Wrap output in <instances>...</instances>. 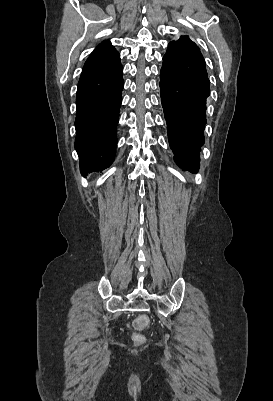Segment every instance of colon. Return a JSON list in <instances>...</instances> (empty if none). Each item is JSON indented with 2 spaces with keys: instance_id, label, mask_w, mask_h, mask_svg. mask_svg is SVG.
I'll use <instances>...</instances> for the list:
<instances>
[{
  "instance_id": "5ec220e1",
  "label": "colon",
  "mask_w": 273,
  "mask_h": 401,
  "mask_svg": "<svg viewBox=\"0 0 273 401\" xmlns=\"http://www.w3.org/2000/svg\"><path fill=\"white\" fill-rule=\"evenodd\" d=\"M146 315L142 314L141 318L138 319L133 327V330L136 334L132 336V339L135 341L136 344L132 346V351L134 353H139L141 351V347L147 345L148 340L147 336L144 332L145 327L148 326V320L145 319Z\"/></svg>"
}]
</instances>
